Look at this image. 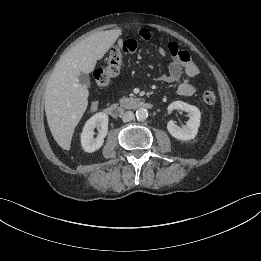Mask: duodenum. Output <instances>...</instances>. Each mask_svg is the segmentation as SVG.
Segmentation results:
<instances>
[{
	"label": "duodenum",
	"instance_id": "1",
	"mask_svg": "<svg viewBox=\"0 0 261 261\" xmlns=\"http://www.w3.org/2000/svg\"><path fill=\"white\" fill-rule=\"evenodd\" d=\"M152 107V104L145 101L140 100H129L125 103H116L112 104L106 109V113L112 117V118H119L125 111L129 109H139V108H145L150 109Z\"/></svg>",
	"mask_w": 261,
	"mask_h": 261
}]
</instances>
